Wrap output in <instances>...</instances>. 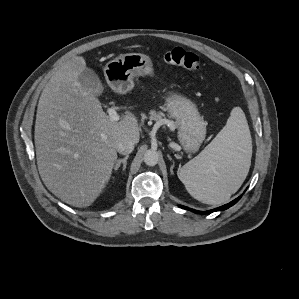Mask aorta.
<instances>
[{"label": "aorta", "instance_id": "762f6f07", "mask_svg": "<svg viewBox=\"0 0 299 299\" xmlns=\"http://www.w3.org/2000/svg\"><path fill=\"white\" fill-rule=\"evenodd\" d=\"M159 161V155L157 153V151L155 150H148L145 152L144 154V162L148 165V166H154L158 163Z\"/></svg>", "mask_w": 299, "mask_h": 299}]
</instances>
